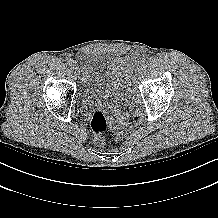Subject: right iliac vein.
<instances>
[{"mask_svg": "<svg viewBox=\"0 0 218 218\" xmlns=\"http://www.w3.org/2000/svg\"><path fill=\"white\" fill-rule=\"evenodd\" d=\"M71 69L73 70V72H74L75 74H77L78 67H77V64H76V63H73V64L71 65Z\"/></svg>", "mask_w": 218, "mask_h": 218, "instance_id": "63e3f726", "label": "right iliac vein"}]
</instances>
